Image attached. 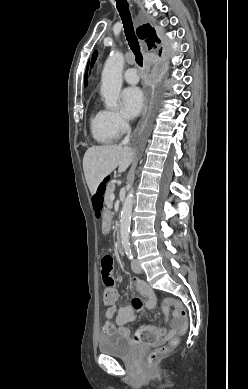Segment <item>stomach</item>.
Here are the masks:
<instances>
[{"instance_id":"0dacf381","label":"stomach","mask_w":248,"mask_h":389,"mask_svg":"<svg viewBox=\"0 0 248 389\" xmlns=\"http://www.w3.org/2000/svg\"><path fill=\"white\" fill-rule=\"evenodd\" d=\"M112 209L110 207H103L102 208V215L101 218L103 219L102 224L104 225L102 227V233L104 235H110L113 230V220L116 218V215L114 213H111Z\"/></svg>"}]
</instances>
